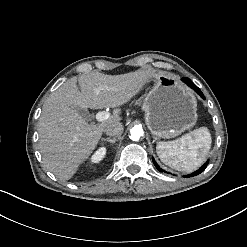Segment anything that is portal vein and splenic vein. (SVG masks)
I'll return each mask as SVG.
<instances>
[{
    "label": "portal vein and splenic vein",
    "mask_w": 247,
    "mask_h": 247,
    "mask_svg": "<svg viewBox=\"0 0 247 247\" xmlns=\"http://www.w3.org/2000/svg\"><path fill=\"white\" fill-rule=\"evenodd\" d=\"M96 120L99 122H103L110 117V113L107 111H100L96 114Z\"/></svg>",
    "instance_id": "obj_1"
}]
</instances>
